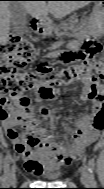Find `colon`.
<instances>
[{
	"label": "colon",
	"mask_w": 104,
	"mask_h": 189,
	"mask_svg": "<svg viewBox=\"0 0 104 189\" xmlns=\"http://www.w3.org/2000/svg\"><path fill=\"white\" fill-rule=\"evenodd\" d=\"M102 45L92 39H86L82 52H67L63 55L65 66L54 70L52 66L42 63L36 72L25 68L35 58V48L25 37L12 34L1 46L2 64L0 67V92L4 99H19L27 104L29 99L24 95L35 91L44 99L55 96V87L70 83L88 74L103 76V63L98 59ZM37 127L44 131L40 125Z\"/></svg>",
	"instance_id": "obj_1"
}]
</instances>
